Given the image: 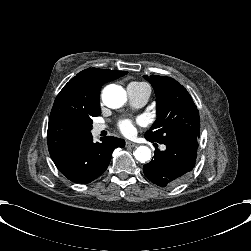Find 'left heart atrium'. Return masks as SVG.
Returning <instances> with one entry per match:
<instances>
[{"label": "left heart atrium", "mask_w": 251, "mask_h": 251, "mask_svg": "<svg viewBox=\"0 0 251 251\" xmlns=\"http://www.w3.org/2000/svg\"><path fill=\"white\" fill-rule=\"evenodd\" d=\"M118 127L124 134H130L133 131L132 122L128 119H123L119 122Z\"/></svg>", "instance_id": "39dd6f15"}]
</instances>
